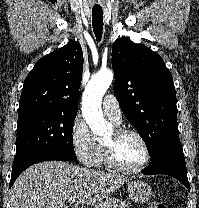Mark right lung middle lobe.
<instances>
[{"instance_id": "1", "label": "right lung middle lobe", "mask_w": 199, "mask_h": 208, "mask_svg": "<svg viewBox=\"0 0 199 208\" xmlns=\"http://www.w3.org/2000/svg\"><path fill=\"white\" fill-rule=\"evenodd\" d=\"M76 113L43 110L18 113L17 146L13 165L33 155L56 153L68 161L77 160L72 139Z\"/></svg>"}]
</instances>
